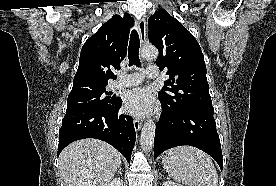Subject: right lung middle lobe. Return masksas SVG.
I'll return each instance as SVG.
<instances>
[{"label": "right lung middle lobe", "mask_w": 276, "mask_h": 186, "mask_svg": "<svg viewBox=\"0 0 276 186\" xmlns=\"http://www.w3.org/2000/svg\"><path fill=\"white\" fill-rule=\"evenodd\" d=\"M105 85H84L72 88L67 100L66 113L84 109H107L112 107L118 97L111 96Z\"/></svg>", "instance_id": "obj_1"}]
</instances>
